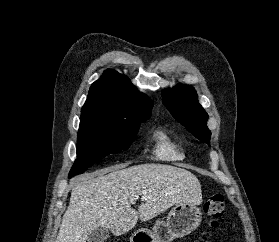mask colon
I'll list each match as a JSON object with an SVG mask.
<instances>
[{"mask_svg": "<svg viewBox=\"0 0 279 242\" xmlns=\"http://www.w3.org/2000/svg\"><path fill=\"white\" fill-rule=\"evenodd\" d=\"M225 198L221 193L209 196L204 203V211L210 227L217 228L220 219L224 214ZM202 242H206V237L202 236Z\"/></svg>", "mask_w": 279, "mask_h": 242, "instance_id": "colon-1", "label": "colon"}]
</instances>
